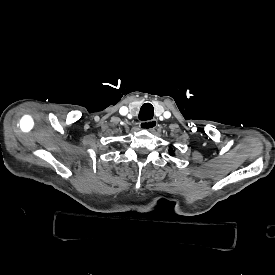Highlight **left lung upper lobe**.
<instances>
[{
    "label": "left lung upper lobe",
    "mask_w": 275,
    "mask_h": 275,
    "mask_svg": "<svg viewBox=\"0 0 275 275\" xmlns=\"http://www.w3.org/2000/svg\"><path fill=\"white\" fill-rule=\"evenodd\" d=\"M174 153H175V150H173L172 148H169V154L173 156Z\"/></svg>",
    "instance_id": "left-lung-upper-lobe-1"
}]
</instances>
